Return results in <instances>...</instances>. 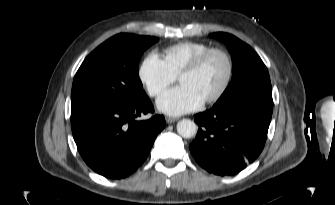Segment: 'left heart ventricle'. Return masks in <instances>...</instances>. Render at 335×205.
<instances>
[{
	"label": "left heart ventricle",
	"mask_w": 335,
	"mask_h": 205,
	"mask_svg": "<svg viewBox=\"0 0 335 205\" xmlns=\"http://www.w3.org/2000/svg\"><path fill=\"white\" fill-rule=\"evenodd\" d=\"M227 73V64L220 54L211 55L196 73L183 76L180 84L191 88L203 101L221 87Z\"/></svg>",
	"instance_id": "b2bd125f"
}]
</instances>
